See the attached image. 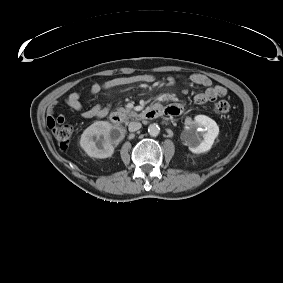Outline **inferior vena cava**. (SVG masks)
<instances>
[{
    "label": "inferior vena cava",
    "mask_w": 283,
    "mask_h": 283,
    "mask_svg": "<svg viewBox=\"0 0 283 283\" xmlns=\"http://www.w3.org/2000/svg\"><path fill=\"white\" fill-rule=\"evenodd\" d=\"M141 123L140 122H130L128 125V129L130 132H135L141 128Z\"/></svg>",
    "instance_id": "inferior-vena-cava-1"
}]
</instances>
